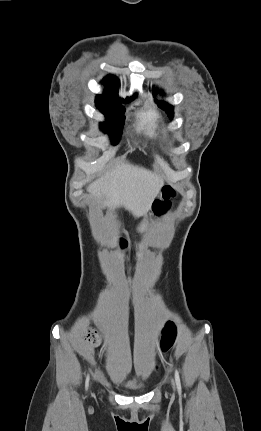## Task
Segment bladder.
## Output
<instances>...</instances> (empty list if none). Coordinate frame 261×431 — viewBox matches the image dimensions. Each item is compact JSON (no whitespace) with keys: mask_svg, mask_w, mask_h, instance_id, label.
<instances>
[{"mask_svg":"<svg viewBox=\"0 0 261 431\" xmlns=\"http://www.w3.org/2000/svg\"><path fill=\"white\" fill-rule=\"evenodd\" d=\"M126 390L133 393H142L145 391V387L136 383L129 382L125 385Z\"/></svg>","mask_w":261,"mask_h":431,"instance_id":"obj_1","label":"bladder"}]
</instances>
